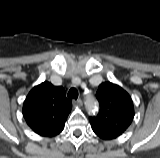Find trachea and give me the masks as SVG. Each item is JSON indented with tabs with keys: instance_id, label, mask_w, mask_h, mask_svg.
Returning <instances> with one entry per match:
<instances>
[{
	"instance_id": "3493384b",
	"label": "trachea",
	"mask_w": 160,
	"mask_h": 158,
	"mask_svg": "<svg viewBox=\"0 0 160 158\" xmlns=\"http://www.w3.org/2000/svg\"><path fill=\"white\" fill-rule=\"evenodd\" d=\"M68 98L77 99L78 98V91L75 88H71L67 94Z\"/></svg>"
}]
</instances>
